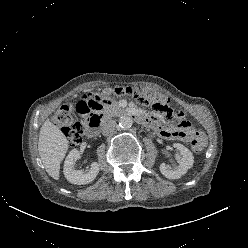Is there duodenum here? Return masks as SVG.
<instances>
[{"label": "duodenum", "instance_id": "obj_1", "mask_svg": "<svg viewBox=\"0 0 248 248\" xmlns=\"http://www.w3.org/2000/svg\"><path fill=\"white\" fill-rule=\"evenodd\" d=\"M120 113L122 114H127V115H130L132 116L135 120L143 123V124H146V125H149L151 124V120L148 118V117H145L143 116L142 114H140L139 112H136V111H130V110H119ZM110 117V115L108 116H105V115H96L94 116L89 125L87 126L86 128V133L89 137H94L98 131H99V128L100 126Z\"/></svg>", "mask_w": 248, "mask_h": 248}]
</instances>
